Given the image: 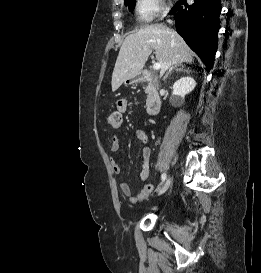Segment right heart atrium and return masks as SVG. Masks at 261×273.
I'll return each instance as SVG.
<instances>
[{"mask_svg": "<svg viewBox=\"0 0 261 273\" xmlns=\"http://www.w3.org/2000/svg\"><path fill=\"white\" fill-rule=\"evenodd\" d=\"M136 11L143 22H150L167 11L164 0H136Z\"/></svg>", "mask_w": 261, "mask_h": 273, "instance_id": "right-heart-atrium-1", "label": "right heart atrium"}]
</instances>
